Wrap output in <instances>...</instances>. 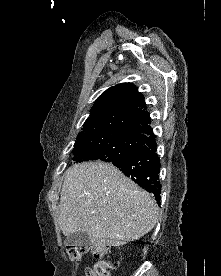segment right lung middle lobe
<instances>
[{
  "instance_id": "1",
  "label": "right lung middle lobe",
  "mask_w": 221,
  "mask_h": 276,
  "mask_svg": "<svg viewBox=\"0 0 221 276\" xmlns=\"http://www.w3.org/2000/svg\"><path fill=\"white\" fill-rule=\"evenodd\" d=\"M144 138L125 133H107L77 140L73 148L75 163L89 160L111 162L127 156L141 146Z\"/></svg>"
}]
</instances>
